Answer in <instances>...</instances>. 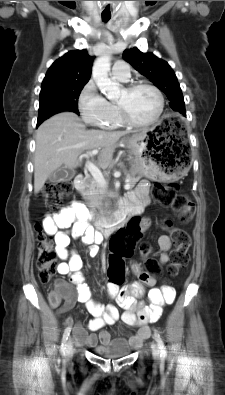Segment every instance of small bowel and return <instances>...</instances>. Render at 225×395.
<instances>
[{"label":"small bowel","mask_w":225,"mask_h":395,"mask_svg":"<svg viewBox=\"0 0 225 395\" xmlns=\"http://www.w3.org/2000/svg\"><path fill=\"white\" fill-rule=\"evenodd\" d=\"M149 186L147 181H141L123 201L121 208L129 210L132 215L139 214L150 201ZM90 218L91 214L83 204L73 202L60 212L47 215L43 219V229L48 235L53 236L56 253L61 259L57 271L62 275H68L70 282L76 286V295L66 299L65 306L59 312L69 309L75 302L84 304L87 311L93 316L87 325L91 332L100 331L104 326L112 325L119 319L127 326H137L138 332L129 336L128 341L131 346L139 347L143 340L150 335L148 323L155 322L160 318L163 306L174 301L175 291L168 286L154 287L157 281L156 275H150L149 272L143 271L139 264H134L132 270L138 277L137 282L123 288H113L110 283L107 285L109 297L124 310L121 315L114 305L103 306L95 301L82 273L81 258L74 251L69 250L70 234L66 231L71 228L72 236L81 238L82 242L88 246L89 254L95 256L98 253L102 237L89 225ZM140 224L142 229L146 230L151 221L144 218ZM158 247L160 250L158 266L161 267L169 261L168 252L171 248L169 236L161 235L158 238ZM144 285L151 287L147 293L150 301L149 306H143L136 300V297L145 293ZM66 324L70 328L73 327L75 343L78 346L86 345L97 348L98 342L105 346L111 340V334L108 331H100L99 335L89 334L80 323L74 324L71 317L66 319Z\"/></svg>","instance_id":"1"}]
</instances>
